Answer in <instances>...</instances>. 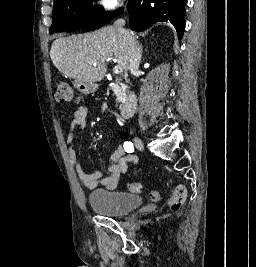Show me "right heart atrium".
I'll return each instance as SVG.
<instances>
[{
	"mask_svg": "<svg viewBox=\"0 0 256 267\" xmlns=\"http://www.w3.org/2000/svg\"><path fill=\"white\" fill-rule=\"evenodd\" d=\"M111 54H105V56H110Z\"/></svg>",
	"mask_w": 256,
	"mask_h": 267,
	"instance_id": "1",
	"label": "right heart atrium"
}]
</instances>
